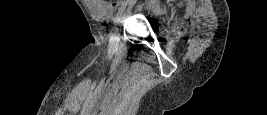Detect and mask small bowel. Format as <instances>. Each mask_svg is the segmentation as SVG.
I'll use <instances>...</instances> for the list:
<instances>
[{"mask_svg":"<svg viewBox=\"0 0 267 115\" xmlns=\"http://www.w3.org/2000/svg\"><path fill=\"white\" fill-rule=\"evenodd\" d=\"M85 2L96 16L100 18H107L110 16V8L102 2L98 0H86Z\"/></svg>","mask_w":267,"mask_h":115,"instance_id":"c3829d8e","label":"small bowel"}]
</instances>
